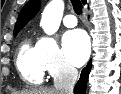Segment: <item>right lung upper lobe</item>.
I'll list each match as a JSON object with an SVG mask.
<instances>
[{
	"label": "right lung upper lobe",
	"instance_id": "1",
	"mask_svg": "<svg viewBox=\"0 0 121 94\" xmlns=\"http://www.w3.org/2000/svg\"><path fill=\"white\" fill-rule=\"evenodd\" d=\"M83 4H86V0H82ZM41 6L40 0H29L19 13L14 33L19 32L28 21H30L39 11Z\"/></svg>",
	"mask_w": 121,
	"mask_h": 94
}]
</instances>
